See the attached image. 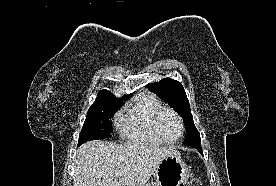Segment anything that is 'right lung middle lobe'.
I'll return each mask as SVG.
<instances>
[{
    "label": "right lung middle lobe",
    "mask_w": 276,
    "mask_h": 186,
    "mask_svg": "<svg viewBox=\"0 0 276 186\" xmlns=\"http://www.w3.org/2000/svg\"><path fill=\"white\" fill-rule=\"evenodd\" d=\"M110 93L98 94L95 102L88 110L82 131L79 135L78 145L84 142L111 137L112 124L110 118L122 105V100Z\"/></svg>",
    "instance_id": "obj_1"
}]
</instances>
